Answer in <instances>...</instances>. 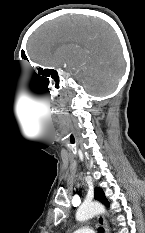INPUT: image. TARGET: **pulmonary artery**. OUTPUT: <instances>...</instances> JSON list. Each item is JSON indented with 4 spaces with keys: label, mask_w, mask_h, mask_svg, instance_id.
I'll use <instances>...</instances> for the list:
<instances>
[{
    "label": "pulmonary artery",
    "mask_w": 145,
    "mask_h": 233,
    "mask_svg": "<svg viewBox=\"0 0 145 233\" xmlns=\"http://www.w3.org/2000/svg\"><path fill=\"white\" fill-rule=\"evenodd\" d=\"M73 233H95V232L90 228H79L75 230Z\"/></svg>",
    "instance_id": "obj_1"
}]
</instances>
